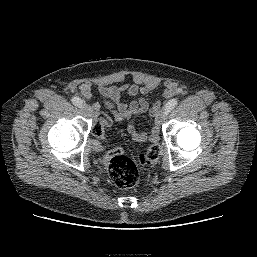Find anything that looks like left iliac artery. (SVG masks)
<instances>
[{"label": "left iliac artery", "mask_w": 257, "mask_h": 257, "mask_svg": "<svg viewBox=\"0 0 257 257\" xmlns=\"http://www.w3.org/2000/svg\"><path fill=\"white\" fill-rule=\"evenodd\" d=\"M178 104V100L176 98L171 99L165 106V109L167 110V112H170L171 110H173Z\"/></svg>", "instance_id": "1"}]
</instances>
